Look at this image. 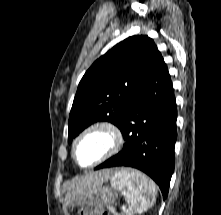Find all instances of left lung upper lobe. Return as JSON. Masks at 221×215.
I'll return each mask as SVG.
<instances>
[{"mask_svg": "<svg viewBox=\"0 0 221 215\" xmlns=\"http://www.w3.org/2000/svg\"><path fill=\"white\" fill-rule=\"evenodd\" d=\"M160 55L153 39L131 36L97 59L81 79L69 116V142L97 121L119 126L123 110Z\"/></svg>", "mask_w": 221, "mask_h": 215, "instance_id": "obj_1", "label": "left lung upper lobe"}]
</instances>
